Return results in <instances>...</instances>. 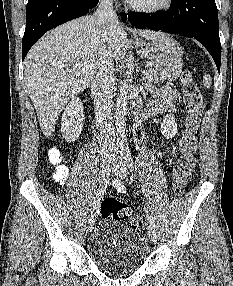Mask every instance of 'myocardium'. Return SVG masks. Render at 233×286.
Listing matches in <instances>:
<instances>
[{
  "label": "myocardium",
  "mask_w": 233,
  "mask_h": 286,
  "mask_svg": "<svg viewBox=\"0 0 233 286\" xmlns=\"http://www.w3.org/2000/svg\"><path fill=\"white\" fill-rule=\"evenodd\" d=\"M172 2L173 0H163L160 4L155 5V6H144V5L136 4L132 1H128L132 9H134L135 11L147 13V14H154V13L165 11L171 7Z\"/></svg>",
  "instance_id": "myocardium-1"
}]
</instances>
